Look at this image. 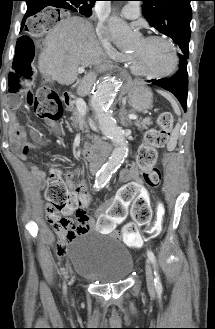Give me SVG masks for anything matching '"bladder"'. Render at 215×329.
I'll use <instances>...</instances> for the list:
<instances>
[{"label":"bladder","instance_id":"31cf9c89","mask_svg":"<svg viewBox=\"0 0 215 329\" xmlns=\"http://www.w3.org/2000/svg\"><path fill=\"white\" fill-rule=\"evenodd\" d=\"M68 250L77 273L92 282H120L133 271L132 253L116 236L96 231L80 233Z\"/></svg>","mask_w":215,"mask_h":329}]
</instances>
